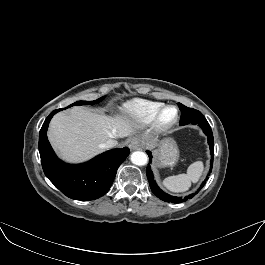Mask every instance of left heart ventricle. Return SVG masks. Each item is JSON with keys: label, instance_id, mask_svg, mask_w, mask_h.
I'll list each match as a JSON object with an SVG mask.
<instances>
[{"label": "left heart ventricle", "instance_id": "b2bd125f", "mask_svg": "<svg viewBox=\"0 0 265 265\" xmlns=\"http://www.w3.org/2000/svg\"><path fill=\"white\" fill-rule=\"evenodd\" d=\"M174 110L173 109H169V110H167L166 112H165V114H164V119L165 120H169V119H171L173 116H174Z\"/></svg>", "mask_w": 265, "mask_h": 265}]
</instances>
